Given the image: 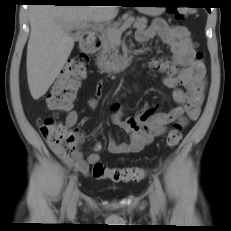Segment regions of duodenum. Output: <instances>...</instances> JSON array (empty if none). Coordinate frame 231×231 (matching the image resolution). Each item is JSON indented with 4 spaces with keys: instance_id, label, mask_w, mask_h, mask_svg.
<instances>
[{
    "instance_id": "1",
    "label": "duodenum",
    "mask_w": 231,
    "mask_h": 231,
    "mask_svg": "<svg viewBox=\"0 0 231 231\" xmlns=\"http://www.w3.org/2000/svg\"><path fill=\"white\" fill-rule=\"evenodd\" d=\"M101 46V39L95 32H86L82 38L81 50L84 53L91 54L95 52ZM128 59L121 60L120 65L127 64Z\"/></svg>"
}]
</instances>
